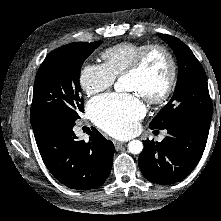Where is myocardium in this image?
<instances>
[{"mask_svg":"<svg viewBox=\"0 0 221 221\" xmlns=\"http://www.w3.org/2000/svg\"><path fill=\"white\" fill-rule=\"evenodd\" d=\"M154 52H160L166 58L168 63V74L163 90L155 96H143L149 104H161L165 102L172 94L177 78V66L174 56L167 47L161 44L146 45L135 57L133 63L124 72L123 76H130L140 73L145 67L147 60Z\"/></svg>","mask_w":221,"mask_h":221,"instance_id":"obj_1","label":"myocardium"}]
</instances>
